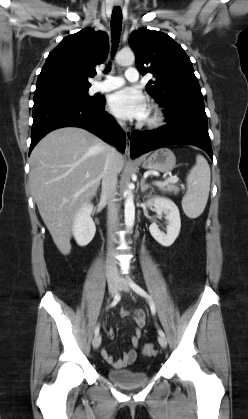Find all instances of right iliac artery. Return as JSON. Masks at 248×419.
<instances>
[{
	"instance_id": "obj_1",
	"label": "right iliac artery",
	"mask_w": 248,
	"mask_h": 419,
	"mask_svg": "<svg viewBox=\"0 0 248 419\" xmlns=\"http://www.w3.org/2000/svg\"><path fill=\"white\" fill-rule=\"evenodd\" d=\"M120 293H117L116 296L114 297V300L112 301V303L110 304V307H114L119 301H120ZM99 325L96 326L95 328V336L99 334Z\"/></svg>"
}]
</instances>
